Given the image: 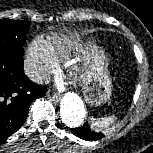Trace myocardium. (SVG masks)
Listing matches in <instances>:
<instances>
[{"label":"myocardium","mask_w":153,"mask_h":153,"mask_svg":"<svg viewBox=\"0 0 153 153\" xmlns=\"http://www.w3.org/2000/svg\"><path fill=\"white\" fill-rule=\"evenodd\" d=\"M80 71L78 68H73L71 71V75L74 79H77L79 77Z\"/></svg>","instance_id":"f54148a6"}]
</instances>
